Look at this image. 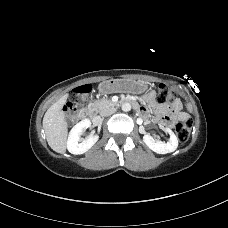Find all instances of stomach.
<instances>
[{"mask_svg": "<svg viewBox=\"0 0 228 228\" xmlns=\"http://www.w3.org/2000/svg\"><path fill=\"white\" fill-rule=\"evenodd\" d=\"M148 89V85L141 81H135L131 79H112L106 80L99 84L98 90L101 94L111 93H132L142 94Z\"/></svg>", "mask_w": 228, "mask_h": 228, "instance_id": "stomach-1", "label": "stomach"}]
</instances>
